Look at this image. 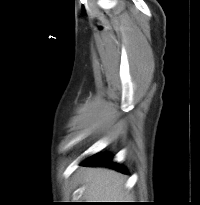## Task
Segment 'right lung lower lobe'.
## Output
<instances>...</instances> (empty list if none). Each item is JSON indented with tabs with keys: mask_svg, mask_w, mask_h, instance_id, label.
I'll use <instances>...</instances> for the list:
<instances>
[{
	"mask_svg": "<svg viewBox=\"0 0 200 205\" xmlns=\"http://www.w3.org/2000/svg\"><path fill=\"white\" fill-rule=\"evenodd\" d=\"M83 166H110L117 170L125 172V169L111 162L109 155H94L82 163Z\"/></svg>",
	"mask_w": 200,
	"mask_h": 205,
	"instance_id": "1",
	"label": "right lung lower lobe"
}]
</instances>
